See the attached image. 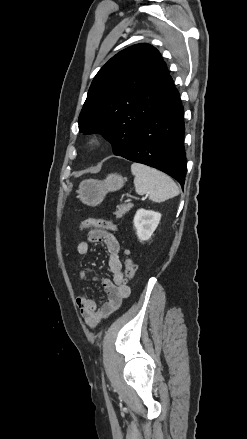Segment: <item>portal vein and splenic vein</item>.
<instances>
[{
	"instance_id": "1",
	"label": "portal vein and splenic vein",
	"mask_w": 247,
	"mask_h": 439,
	"mask_svg": "<svg viewBox=\"0 0 247 439\" xmlns=\"http://www.w3.org/2000/svg\"><path fill=\"white\" fill-rule=\"evenodd\" d=\"M146 198H147V197H142L141 199H142V200H145Z\"/></svg>"
}]
</instances>
